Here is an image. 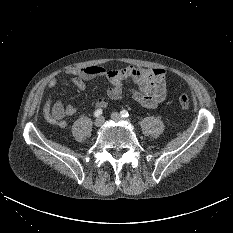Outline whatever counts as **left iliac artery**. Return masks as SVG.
Instances as JSON below:
<instances>
[{"label": "left iliac artery", "mask_w": 233, "mask_h": 233, "mask_svg": "<svg viewBox=\"0 0 233 233\" xmlns=\"http://www.w3.org/2000/svg\"><path fill=\"white\" fill-rule=\"evenodd\" d=\"M120 113H121L122 117H124V118L129 116V114L126 110H122Z\"/></svg>", "instance_id": "obj_1"}]
</instances>
